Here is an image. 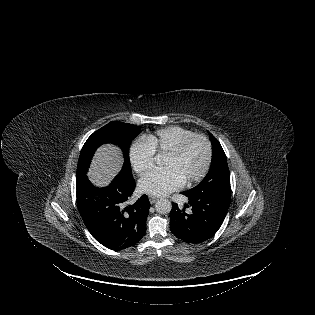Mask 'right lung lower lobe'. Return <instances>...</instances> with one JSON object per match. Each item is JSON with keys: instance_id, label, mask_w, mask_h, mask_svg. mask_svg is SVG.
I'll return each mask as SVG.
<instances>
[{"instance_id": "obj_1", "label": "right lung lower lobe", "mask_w": 315, "mask_h": 315, "mask_svg": "<svg viewBox=\"0 0 315 315\" xmlns=\"http://www.w3.org/2000/svg\"><path fill=\"white\" fill-rule=\"evenodd\" d=\"M76 180L79 213L99 243L121 250L141 240L146 232L150 203L147 195H143L128 205L135 189L133 177L120 172L105 188L93 186L86 174Z\"/></svg>"}]
</instances>
